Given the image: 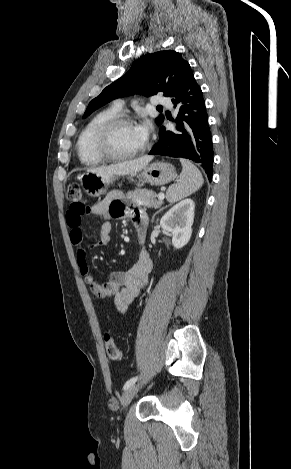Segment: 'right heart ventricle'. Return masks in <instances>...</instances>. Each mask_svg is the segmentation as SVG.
I'll return each instance as SVG.
<instances>
[{
    "label": "right heart ventricle",
    "instance_id": "obj_1",
    "mask_svg": "<svg viewBox=\"0 0 291 469\" xmlns=\"http://www.w3.org/2000/svg\"><path fill=\"white\" fill-rule=\"evenodd\" d=\"M114 106L108 107L96 113L80 132L76 151L80 162L85 166H97L105 162V158L99 153L96 145L97 133L100 127L109 119L119 114Z\"/></svg>",
    "mask_w": 291,
    "mask_h": 469
}]
</instances>
